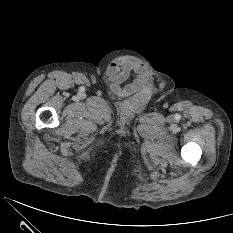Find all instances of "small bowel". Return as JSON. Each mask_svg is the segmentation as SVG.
Returning a JSON list of instances; mask_svg holds the SVG:
<instances>
[{
    "label": "small bowel",
    "instance_id": "obj_1",
    "mask_svg": "<svg viewBox=\"0 0 233 233\" xmlns=\"http://www.w3.org/2000/svg\"><path fill=\"white\" fill-rule=\"evenodd\" d=\"M106 74L112 92L120 97L138 93L144 89L148 81L147 67L134 57L124 56L115 59L108 65ZM132 74L135 75L134 78L126 83Z\"/></svg>",
    "mask_w": 233,
    "mask_h": 233
}]
</instances>
